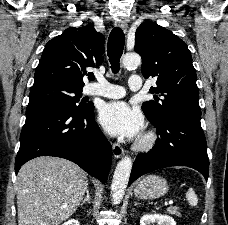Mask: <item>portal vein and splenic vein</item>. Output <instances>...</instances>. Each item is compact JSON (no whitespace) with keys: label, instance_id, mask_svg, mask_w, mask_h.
I'll list each match as a JSON object with an SVG mask.
<instances>
[{"label":"portal vein and splenic vein","instance_id":"obj_1","mask_svg":"<svg viewBox=\"0 0 228 225\" xmlns=\"http://www.w3.org/2000/svg\"><path fill=\"white\" fill-rule=\"evenodd\" d=\"M174 201L173 200H166V202H164V207H170V205H173Z\"/></svg>","mask_w":228,"mask_h":225}]
</instances>
